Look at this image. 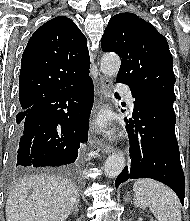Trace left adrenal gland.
Here are the masks:
<instances>
[{
	"label": "left adrenal gland",
	"mask_w": 190,
	"mask_h": 221,
	"mask_svg": "<svg viewBox=\"0 0 190 221\" xmlns=\"http://www.w3.org/2000/svg\"><path fill=\"white\" fill-rule=\"evenodd\" d=\"M130 201H131L130 195L127 193V197H125V203L130 202Z\"/></svg>",
	"instance_id": "1"
}]
</instances>
